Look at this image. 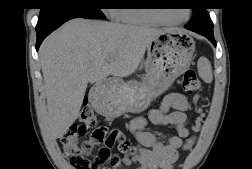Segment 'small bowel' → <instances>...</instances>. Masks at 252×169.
Listing matches in <instances>:
<instances>
[{
	"label": "small bowel",
	"instance_id": "1",
	"mask_svg": "<svg viewBox=\"0 0 252 169\" xmlns=\"http://www.w3.org/2000/svg\"><path fill=\"white\" fill-rule=\"evenodd\" d=\"M188 100L182 93H170L166 95L158 108L149 110L148 117H135L130 123V130L143 146L139 155L134 158L138 164L137 169H173L178 159V151L181 147L190 148L193 138L190 137L188 117L186 110ZM172 109V111H171ZM151 122L155 125L173 126L176 133L171 135L167 143L160 141L153 133L145 128ZM183 139H187L183 144ZM91 144L100 143L92 134ZM131 160L124 157L117 169H126L131 165Z\"/></svg>",
	"mask_w": 252,
	"mask_h": 169
}]
</instances>
